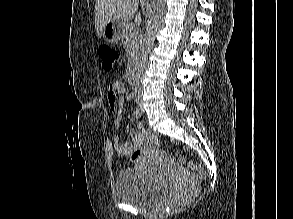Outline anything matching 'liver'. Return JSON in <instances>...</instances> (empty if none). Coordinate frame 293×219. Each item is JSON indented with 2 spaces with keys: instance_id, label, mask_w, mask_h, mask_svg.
<instances>
[{
  "instance_id": "6515ba94",
  "label": "liver",
  "mask_w": 293,
  "mask_h": 219,
  "mask_svg": "<svg viewBox=\"0 0 293 219\" xmlns=\"http://www.w3.org/2000/svg\"><path fill=\"white\" fill-rule=\"evenodd\" d=\"M139 0H96L95 28L98 37L102 36L105 25L110 21H126L135 16ZM141 23V15L136 16Z\"/></svg>"
}]
</instances>
